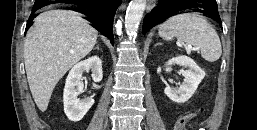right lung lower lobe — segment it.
<instances>
[{"mask_svg": "<svg viewBox=\"0 0 257 130\" xmlns=\"http://www.w3.org/2000/svg\"><path fill=\"white\" fill-rule=\"evenodd\" d=\"M121 0H94L83 4H76L82 8L81 12L85 15V19L92 23V26L110 39L111 43L114 44L113 36V19L116 8L120 4ZM56 2H47L36 0L32 8V14L27 21L26 30L32 25V17H36L34 13L49 4Z\"/></svg>", "mask_w": 257, "mask_h": 130, "instance_id": "1", "label": "right lung lower lobe"}]
</instances>
